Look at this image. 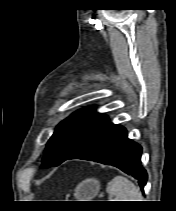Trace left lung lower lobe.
Segmentation results:
<instances>
[{"label":"left lung lower lobe","mask_w":176,"mask_h":211,"mask_svg":"<svg viewBox=\"0 0 176 211\" xmlns=\"http://www.w3.org/2000/svg\"><path fill=\"white\" fill-rule=\"evenodd\" d=\"M142 147L127 137L124 127L108 123L68 159L112 165L136 178L144 191L147 173L141 165Z\"/></svg>","instance_id":"left-lung-lower-lobe-1"}]
</instances>
